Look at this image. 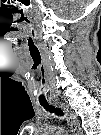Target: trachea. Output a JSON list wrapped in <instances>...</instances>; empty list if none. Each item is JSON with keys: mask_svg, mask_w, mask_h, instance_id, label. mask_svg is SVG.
<instances>
[{"mask_svg": "<svg viewBox=\"0 0 101 135\" xmlns=\"http://www.w3.org/2000/svg\"><path fill=\"white\" fill-rule=\"evenodd\" d=\"M41 105H42L47 111L55 112V113H57V115H63V112H62L61 109L54 108V107L48 105V103H41Z\"/></svg>", "mask_w": 101, "mask_h": 135, "instance_id": "1", "label": "trachea"}]
</instances>
